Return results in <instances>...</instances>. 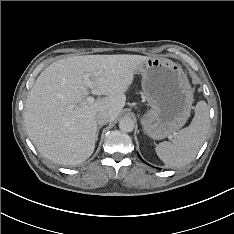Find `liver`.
<instances>
[{
	"label": "liver",
	"mask_w": 234,
	"mask_h": 234,
	"mask_svg": "<svg viewBox=\"0 0 234 234\" xmlns=\"http://www.w3.org/2000/svg\"><path fill=\"white\" fill-rule=\"evenodd\" d=\"M147 59L127 54L85 55L49 65L29 91L24 108L25 127L39 153L62 165L88 159L97 140L96 114L105 111L110 121L115 120L125 106V92L137 67ZM85 75L94 84L90 91ZM90 92L106 97L89 103L85 98Z\"/></svg>",
	"instance_id": "obj_1"
}]
</instances>
